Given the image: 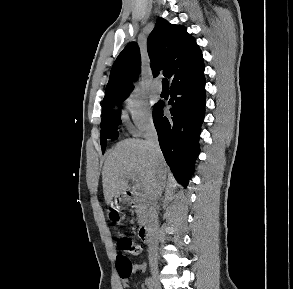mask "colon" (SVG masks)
<instances>
[{
  "label": "colon",
  "instance_id": "1",
  "mask_svg": "<svg viewBox=\"0 0 293 289\" xmlns=\"http://www.w3.org/2000/svg\"><path fill=\"white\" fill-rule=\"evenodd\" d=\"M117 244L124 254L117 259V268L122 278H127L133 270V266L128 256H137L141 254V245L131 237L120 234L117 237Z\"/></svg>",
  "mask_w": 293,
  "mask_h": 289
}]
</instances>
